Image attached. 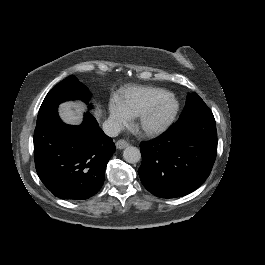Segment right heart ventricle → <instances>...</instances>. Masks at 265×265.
Returning a JSON list of instances; mask_svg holds the SVG:
<instances>
[{
    "mask_svg": "<svg viewBox=\"0 0 265 265\" xmlns=\"http://www.w3.org/2000/svg\"><path fill=\"white\" fill-rule=\"evenodd\" d=\"M160 90L158 88L135 87L125 93L115 96L113 103L120 113L130 117L131 119L138 116L140 111Z\"/></svg>",
    "mask_w": 265,
    "mask_h": 265,
    "instance_id": "e07e8e85",
    "label": "right heart ventricle"
}]
</instances>
